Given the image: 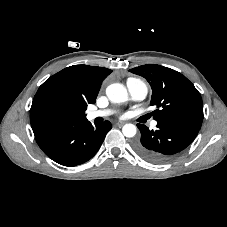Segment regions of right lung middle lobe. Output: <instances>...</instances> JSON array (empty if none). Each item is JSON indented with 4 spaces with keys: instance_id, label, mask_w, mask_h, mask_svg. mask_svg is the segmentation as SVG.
Instances as JSON below:
<instances>
[{
    "instance_id": "dd1d6c3e",
    "label": "right lung middle lobe",
    "mask_w": 227,
    "mask_h": 227,
    "mask_svg": "<svg viewBox=\"0 0 227 227\" xmlns=\"http://www.w3.org/2000/svg\"><path fill=\"white\" fill-rule=\"evenodd\" d=\"M85 118V109L59 91H37L30 110L32 129L42 130Z\"/></svg>"
}]
</instances>
